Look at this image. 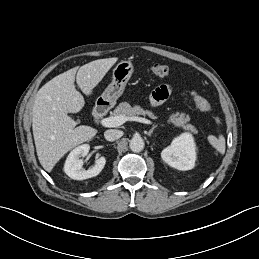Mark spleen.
Returning a JSON list of instances; mask_svg holds the SVG:
<instances>
[{"label":"spleen","mask_w":259,"mask_h":259,"mask_svg":"<svg viewBox=\"0 0 259 259\" xmlns=\"http://www.w3.org/2000/svg\"><path fill=\"white\" fill-rule=\"evenodd\" d=\"M211 143L218 152H220L221 154H224V152H225V138H224L223 135H220L218 139L212 138Z\"/></svg>","instance_id":"spleen-1"}]
</instances>
